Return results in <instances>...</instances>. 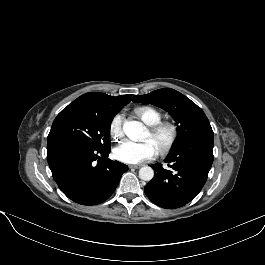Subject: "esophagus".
Returning <instances> with one entry per match:
<instances>
[{
  "label": "esophagus",
  "mask_w": 265,
  "mask_h": 265,
  "mask_svg": "<svg viewBox=\"0 0 265 265\" xmlns=\"http://www.w3.org/2000/svg\"><path fill=\"white\" fill-rule=\"evenodd\" d=\"M142 165H130L129 168L130 169H138L139 167H141Z\"/></svg>",
  "instance_id": "esophagus-1"
}]
</instances>
